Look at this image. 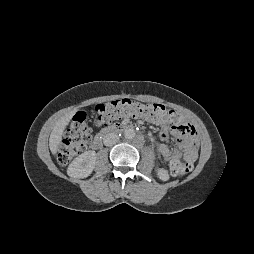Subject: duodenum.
<instances>
[{
  "mask_svg": "<svg viewBox=\"0 0 254 254\" xmlns=\"http://www.w3.org/2000/svg\"><path fill=\"white\" fill-rule=\"evenodd\" d=\"M135 126L134 125H128V124H115L109 128H106L101 131L100 134H98L92 141V147L94 149H99L102 146V138L104 135L113 132H120L124 130H134Z\"/></svg>",
  "mask_w": 254,
  "mask_h": 254,
  "instance_id": "duodenum-1",
  "label": "duodenum"
}]
</instances>
